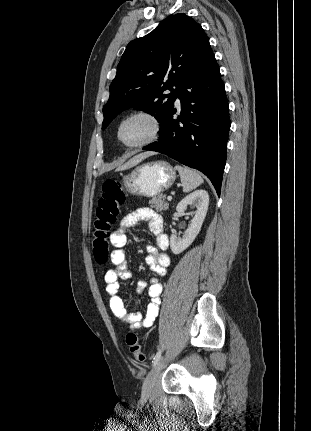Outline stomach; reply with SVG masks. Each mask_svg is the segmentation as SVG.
<instances>
[{"label": "stomach", "instance_id": "obj_1", "mask_svg": "<svg viewBox=\"0 0 311 431\" xmlns=\"http://www.w3.org/2000/svg\"><path fill=\"white\" fill-rule=\"evenodd\" d=\"M176 180V172L168 162H147L122 176V186L130 196L157 198L169 190Z\"/></svg>", "mask_w": 311, "mask_h": 431}]
</instances>
